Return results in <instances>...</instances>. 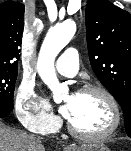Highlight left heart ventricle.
<instances>
[{
	"instance_id": "obj_1",
	"label": "left heart ventricle",
	"mask_w": 131,
	"mask_h": 151,
	"mask_svg": "<svg viewBox=\"0 0 131 151\" xmlns=\"http://www.w3.org/2000/svg\"><path fill=\"white\" fill-rule=\"evenodd\" d=\"M65 103L71 107L69 121L82 132L101 133L112 124V109L101 94H71L65 97Z\"/></svg>"
}]
</instances>
